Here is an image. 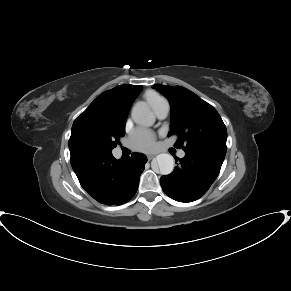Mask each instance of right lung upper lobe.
<instances>
[{"label":"right lung upper lobe","mask_w":291,"mask_h":291,"mask_svg":"<svg viewBox=\"0 0 291 291\" xmlns=\"http://www.w3.org/2000/svg\"><path fill=\"white\" fill-rule=\"evenodd\" d=\"M141 85H120L98 96L73 123L69 140L70 154H76L72 142L77 131L85 125L99 124L106 119L126 122L131 104L141 92Z\"/></svg>","instance_id":"cb5924a9"}]
</instances>
